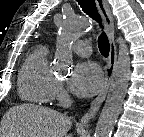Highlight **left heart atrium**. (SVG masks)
Returning <instances> with one entry per match:
<instances>
[{
  "instance_id": "left-heart-atrium-1",
  "label": "left heart atrium",
  "mask_w": 144,
  "mask_h": 137,
  "mask_svg": "<svg viewBox=\"0 0 144 137\" xmlns=\"http://www.w3.org/2000/svg\"><path fill=\"white\" fill-rule=\"evenodd\" d=\"M69 84L73 93L78 97H91L103 84L102 71L94 62L80 63L75 68Z\"/></svg>"
}]
</instances>
